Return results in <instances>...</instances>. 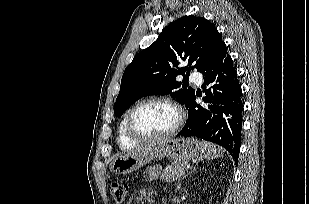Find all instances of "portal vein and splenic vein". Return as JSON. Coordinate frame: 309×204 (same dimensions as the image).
<instances>
[{"label":"portal vein and splenic vein","instance_id":"1","mask_svg":"<svg viewBox=\"0 0 309 204\" xmlns=\"http://www.w3.org/2000/svg\"><path fill=\"white\" fill-rule=\"evenodd\" d=\"M188 168H191L190 165L187 166Z\"/></svg>","mask_w":309,"mask_h":204}]
</instances>
